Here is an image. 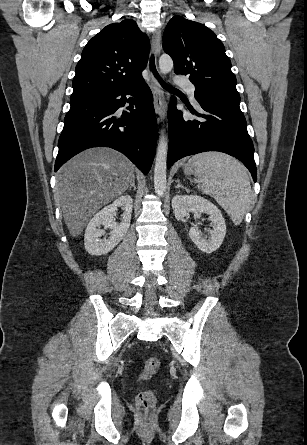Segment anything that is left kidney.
Masks as SVG:
<instances>
[{"instance_id": "1", "label": "left kidney", "mask_w": 307, "mask_h": 445, "mask_svg": "<svg viewBox=\"0 0 307 445\" xmlns=\"http://www.w3.org/2000/svg\"><path fill=\"white\" fill-rule=\"evenodd\" d=\"M172 208L178 220H185L184 216H189V212H207L213 227V231H208V239L202 237L197 227H191L189 237L203 253H214L219 249L226 235V225L221 210L213 202L195 194H175L172 198Z\"/></svg>"}]
</instances>
